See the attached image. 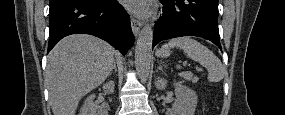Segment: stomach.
<instances>
[{"instance_id": "0dacf381", "label": "stomach", "mask_w": 285, "mask_h": 115, "mask_svg": "<svg viewBox=\"0 0 285 115\" xmlns=\"http://www.w3.org/2000/svg\"><path fill=\"white\" fill-rule=\"evenodd\" d=\"M170 55V50L169 49H160L158 52H157V56L158 57H168Z\"/></svg>"}]
</instances>
